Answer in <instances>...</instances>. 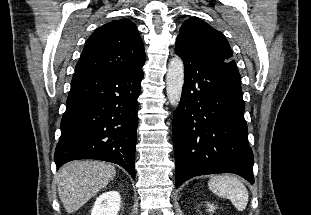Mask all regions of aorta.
<instances>
[{"mask_svg": "<svg viewBox=\"0 0 311 215\" xmlns=\"http://www.w3.org/2000/svg\"><path fill=\"white\" fill-rule=\"evenodd\" d=\"M184 84V64L180 57L175 56L168 64L166 75V92L172 106L179 103Z\"/></svg>", "mask_w": 311, "mask_h": 215, "instance_id": "obj_1", "label": "aorta"}]
</instances>
